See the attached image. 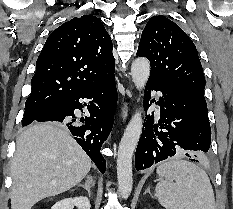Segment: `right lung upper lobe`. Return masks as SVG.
<instances>
[{
  "label": "right lung upper lobe",
  "mask_w": 233,
  "mask_h": 209,
  "mask_svg": "<svg viewBox=\"0 0 233 209\" xmlns=\"http://www.w3.org/2000/svg\"><path fill=\"white\" fill-rule=\"evenodd\" d=\"M112 49L111 38L96 16L65 22L45 42L26 103H57L113 76Z\"/></svg>",
  "instance_id": "right-lung-upper-lobe-1"
}]
</instances>
